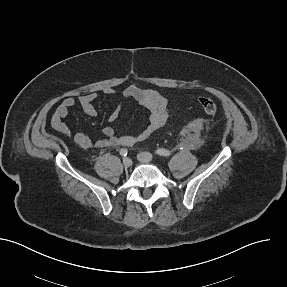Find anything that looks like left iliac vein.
Listing matches in <instances>:
<instances>
[{"mask_svg": "<svg viewBox=\"0 0 287 287\" xmlns=\"http://www.w3.org/2000/svg\"><path fill=\"white\" fill-rule=\"evenodd\" d=\"M137 158L142 163H151L153 161V156L151 153L142 152L137 155Z\"/></svg>", "mask_w": 287, "mask_h": 287, "instance_id": "1", "label": "left iliac vein"}]
</instances>
